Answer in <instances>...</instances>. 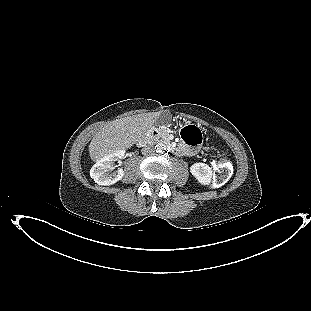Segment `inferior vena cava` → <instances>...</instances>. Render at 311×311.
<instances>
[{
    "instance_id": "inferior-vena-cava-1",
    "label": "inferior vena cava",
    "mask_w": 311,
    "mask_h": 311,
    "mask_svg": "<svg viewBox=\"0 0 311 311\" xmlns=\"http://www.w3.org/2000/svg\"><path fill=\"white\" fill-rule=\"evenodd\" d=\"M141 151L144 155L153 154L155 152L154 148L151 145L144 146Z\"/></svg>"
}]
</instances>
